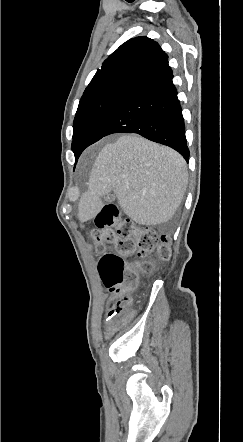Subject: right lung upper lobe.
Masks as SVG:
<instances>
[{
	"label": "right lung upper lobe",
	"instance_id": "obj_1",
	"mask_svg": "<svg viewBox=\"0 0 243 442\" xmlns=\"http://www.w3.org/2000/svg\"><path fill=\"white\" fill-rule=\"evenodd\" d=\"M169 68L168 56L157 42L146 36L132 38L103 62L80 101L112 92H131Z\"/></svg>",
	"mask_w": 243,
	"mask_h": 442
}]
</instances>
